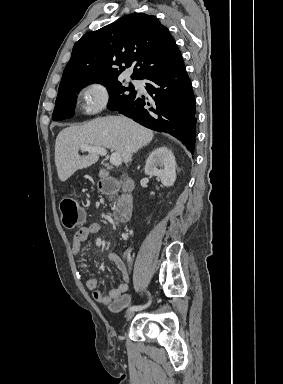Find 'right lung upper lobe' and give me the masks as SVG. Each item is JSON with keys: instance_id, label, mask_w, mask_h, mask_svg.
Instances as JSON below:
<instances>
[{"instance_id": "1", "label": "right lung upper lobe", "mask_w": 283, "mask_h": 384, "mask_svg": "<svg viewBox=\"0 0 283 384\" xmlns=\"http://www.w3.org/2000/svg\"><path fill=\"white\" fill-rule=\"evenodd\" d=\"M132 65L131 78L138 80L184 65L174 38L153 15L130 14L82 36L74 45L60 86L117 79Z\"/></svg>"}]
</instances>
